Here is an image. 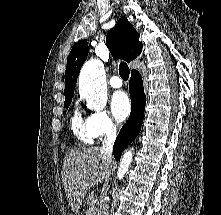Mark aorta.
<instances>
[{
  "instance_id": "obj_1",
  "label": "aorta",
  "mask_w": 221,
  "mask_h": 215,
  "mask_svg": "<svg viewBox=\"0 0 221 215\" xmlns=\"http://www.w3.org/2000/svg\"><path fill=\"white\" fill-rule=\"evenodd\" d=\"M79 93L86 101L88 107L94 110H102L107 103V84L103 63L99 59L87 61L79 75ZM132 149L124 152L117 178L122 180L132 162Z\"/></svg>"
}]
</instances>
